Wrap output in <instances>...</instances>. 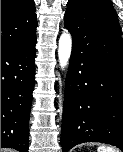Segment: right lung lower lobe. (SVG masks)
<instances>
[{
  "label": "right lung lower lobe",
  "instance_id": "98d812e1",
  "mask_svg": "<svg viewBox=\"0 0 123 152\" xmlns=\"http://www.w3.org/2000/svg\"><path fill=\"white\" fill-rule=\"evenodd\" d=\"M36 35L1 48V148L28 152Z\"/></svg>",
  "mask_w": 123,
  "mask_h": 152
}]
</instances>
